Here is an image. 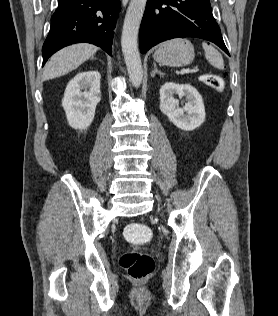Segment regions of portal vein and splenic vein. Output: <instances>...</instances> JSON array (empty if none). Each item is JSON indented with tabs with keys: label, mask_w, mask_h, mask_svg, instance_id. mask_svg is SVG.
Here are the masks:
<instances>
[{
	"label": "portal vein and splenic vein",
	"mask_w": 278,
	"mask_h": 316,
	"mask_svg": "<svg viewBox=\"0 0 278 316\" xmlns=\"http://www.w3.org/2000/svg\"><path fill=\"white\" fill-rule=\"evenodd\" d=\"M190 72H192V70H191L190 68H183V69L180 71L181 75L188 74V73H190Z\"/></svg>",
	"instance_id": "18ae733b"
}]
</instances>
